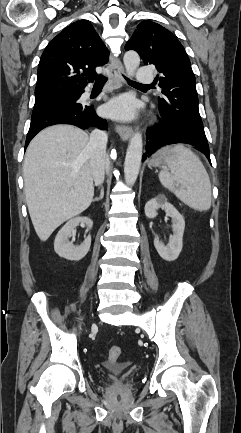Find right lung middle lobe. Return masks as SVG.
<instances>
[{
    "mask_svg": "<svg viewBox=\"0 0 241 433\" xmlns=\"http://www.w3.org/2000/svg\"><path fill=\"white\" fill-rule=\"evenodd\" d=\"M80 97L79 92H54L36 96L32 118L57 106L74 103Z\"/></svg>",
    "mask_w": 241,
    "mask_h": 433,
    "instance_id": "dd1d6c3e",
    "label": "right lung middle lobe"
}]
</instances>
